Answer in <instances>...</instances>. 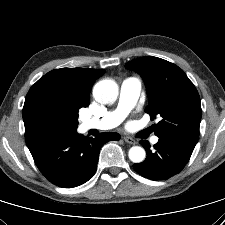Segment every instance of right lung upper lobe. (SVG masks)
I'll use <instances>...</instances> for the list:
<instances>
[{
    "label": "right lung upper lobe",
    "instance_id": "1",
    "mask_svg": "<svg viewBox=\"0 0 225 225\" xmlns=\"http://www.w3.org/2000/svg\"><path fill=\"white\" fill-rule=\"evenodd\" d=\"M104 69L61 68L41 77L28 91L22 110L25 139L47 130L40 108L46 102H80L88 105L90 89Z\"/></svg>",
    "mask_w": 225,
    "mask_h": 225
}]
</instances>
